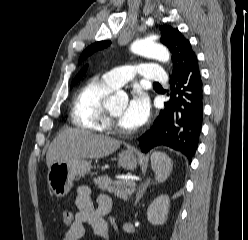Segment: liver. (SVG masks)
<instances>
[{"label": "liver", "instance_id": "6515ba94", "mask_svg": "<svg viewBox=\"0 0 248 240\" xmlns=\"http://www.w3.org/2000/svg\"><path fill=\"white\" fill-rule=\"evenodd\" d=\"M121 141L82 130H67L50 144L46 163L50 167L58 161L73 159H100L117 150Z\"/></svg>", "mask_w": 248, "mask_h": 240}]
</instances>
